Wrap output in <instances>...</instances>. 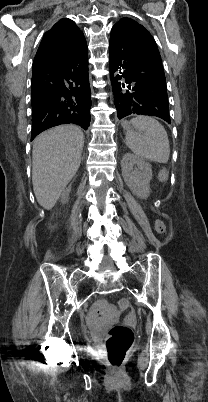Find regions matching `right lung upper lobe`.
Returning a JSON list of instances; mask_svg holds the SVG:
<instances>
[{
	"instance_id": "1",
	"label": "right lung upper lobe",
	"mask_w": 208,
	"mask_h": 402,
	"mask_svg": "<svg viewBox=\"0 0 208 402\" xmlns=\"http://www.w3.org/2000/svg\"><path fill=\"white\" fill-rule=\"evenodd\" d=\"M83 40V32L72 20L61 19L44 34L34 62L60 57L74 50Z\"/></svg>"
}]
</instances>
